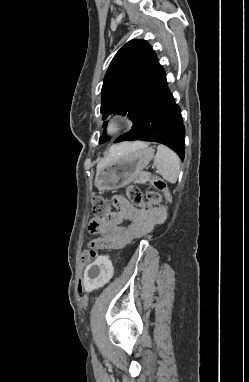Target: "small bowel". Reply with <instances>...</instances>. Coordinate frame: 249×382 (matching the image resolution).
I'll use <instances>...</instances> for the list:
<instances>
[{
  "instance_id": "1",
  "label": "small bowel",
  "mask_w": 249,
  "mask_h": 382,
  "mask_svg": "<svg viewBox=\"0 0 249 382\" xmlns=\"http://www.w3.org/2000/svg\"><path fill=\"white\" fill-rule=\"evenodd\" d=\"M115 212L108 216H95L90 220L89 231L98 234L99 239L94 244L99 248L115 249L125 246L133 240L140 238L152 231L155 225L165 221V210H149L132 205L125 197L113 198ZM123 222H128L123 226ZM84 287L82 282L79 290Z\"/></svg>"
}]
</instances>
